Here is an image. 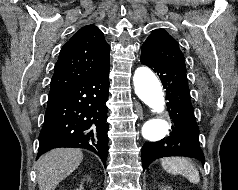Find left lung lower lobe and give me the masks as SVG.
I'll list each match as a JSON object with an SVG mask.
<instances>
[{
  "label": "left lung lower lobe",
  "mask_w": 238,
  "mask_h": 190,
  "mask_svg": "<svg viewBox=\"0 0 238 190\" xmlns=\"http://www.w3.org/2000/svg\"><path fill=\"white\" fill-rule=\"evenodd\" d=\"M140 61L159 75L166 89V105L173 123L169 136L143 145V169L155 159L168 156H184L205 162L199 145V127L191 104L185 66L158 61L145 55H141Z\"/></svg>",
  "instance_id": "0a47b994"
}]
</instances>
